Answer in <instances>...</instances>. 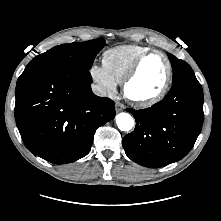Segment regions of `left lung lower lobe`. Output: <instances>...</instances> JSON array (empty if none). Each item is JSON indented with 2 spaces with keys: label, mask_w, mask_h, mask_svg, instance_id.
<instances>
[{
  "label": "left lung lower lobe",
  "mask_w": 221,
  "mask_h": 221,
  "mask_svg": "<svg viewBox=\"0 0 221 221\" xmlns=\"http://www.w3.org/2000/svg\"><path fill=\"white\" fill-rule=\"evenodd\" d=\"M127 110L135 117L136 127L123 138L126 155L145 167H164L185 157L201 131L202 86L196 77L187 78L173 84L152 107Z\"/></svg>",
  "instance_id": "left-lung-lower-lobe-1"
}]
</instances>
